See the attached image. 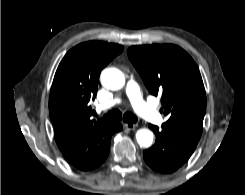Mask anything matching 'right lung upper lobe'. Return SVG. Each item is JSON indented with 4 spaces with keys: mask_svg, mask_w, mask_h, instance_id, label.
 <instances>
[{
    "mask_svg": "<svg viewBox=\"0 0 245 195\" xmlns=\"http://www.w3.org/2000/svg\"><path fill=\"white\" fill-rule=\"evenodd\" d=\"M124 47L89 41L72 48L60 62L50 91L49 114L56 143L76 168L96 166L98 139L112 122L91 118L89 101L96 97L101 70Z\"/></svg>",
    "mask_w": 245,
    "mask_h": 195,
    "instance_id": "1",
    "label": "right lung upper lobe"
}]
</instances>
